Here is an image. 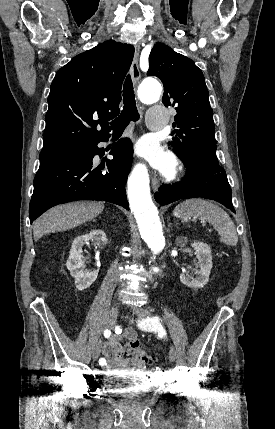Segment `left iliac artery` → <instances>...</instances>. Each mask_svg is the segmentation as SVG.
<instances>
[{
	"label": "left iliac artery",
	"instance_id": "1",
	"mask_svg": "<svg viewBox=\"0 0 275 429\" xmlns=\"http://www.w3.org/2000/svg\"><path fill=\"white\" fill-rule=\"evenodd\" d=\"M160 324L159 317L146 318L140 322V327L145 330H156Z\"/></svg>",
	"mask_w": 275,
	"mask_h": 429
}]
</instances>
